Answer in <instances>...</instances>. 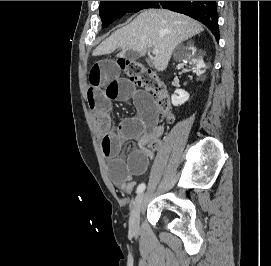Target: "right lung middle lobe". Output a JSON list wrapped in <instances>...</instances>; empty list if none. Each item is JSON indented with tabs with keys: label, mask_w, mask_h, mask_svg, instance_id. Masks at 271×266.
I'll return each mask as SVG.
<instances>
[{
	"label": "right lung middle lobe",
	"mask_w": 271,
	"mask_h": 266,
	"mask_svg": "<svg viewBox=\"0 0 271 266\" xmlns=\"http://www.w3.org/2000/svg\"><path fill=\"white\" fill-rule=\"evenodd\" d=\"M153 3L154 1H101L99 14L102 27L109 26L110 23L127 12H138L149 8Z\"/></svg>",
	"instance_id": "dd1d6c3e"
}]
</instances>
